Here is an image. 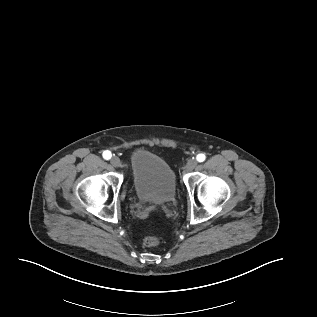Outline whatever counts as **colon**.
<instances>
[{
    "mask_svg": "<svg viewBox=\"0 0 317 317\" xmlns=\"http://www.w3.org/2000/svg\"><path fill=\"white\" fill-rule=\"evenodd\" d=\"M143 243L147 247H154L159 244V239L155 236H146L143 240Z\"/></svg>",
    "mask_w": 317,
    "mask_h": 317,
    "instance_id": "1",
    "label": "colon"
}]
</instances>
